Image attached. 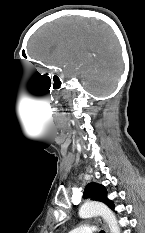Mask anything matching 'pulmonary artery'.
<instances>
[{"label": "pulmonary artery", "mask_w": 145, "mask_h": 233, "mask_svg": "<svg viewBox=\"0 0 145 233\" xmlns=\"http://www.w3.org/2000/svg\"><path fill=\"white\" fill-rule=\"evenodd\" d=\"M96 228L93 226H80L71 230L69 233H95Z\"/></svg>", "instance_id": "e3ab8cb5"}]
</instances>
